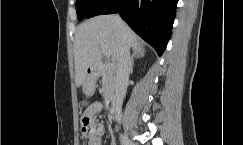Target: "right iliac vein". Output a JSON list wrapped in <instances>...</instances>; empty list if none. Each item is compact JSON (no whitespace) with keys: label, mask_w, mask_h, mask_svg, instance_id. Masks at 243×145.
Listing matches in <instances>:
<instances>
[{"label":"right iliac vein","mask_w":243,"mask_h":145,"mask_svg":"<svg viewBox=\"0 0 243 145\" xmlns=\"http://www.w3.org/2000/svg\"><path fill=\"white\" fill-rule=\"evenodd\" d=\"M122 145H135L126 136H121Z\"/></svg>","instance_id":"1"}]
</instances>
